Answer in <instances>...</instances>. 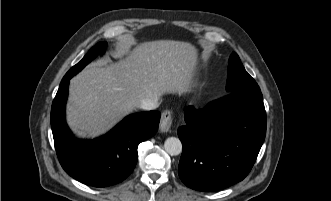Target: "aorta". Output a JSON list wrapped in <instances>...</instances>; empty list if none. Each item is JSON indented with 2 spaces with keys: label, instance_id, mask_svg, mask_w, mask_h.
<instances>
[{
  "label": "aorta",
  "instance_id": "1",
  "mask_svg": "<svg viewBox=\"0 0 331 201\" xmlns=\"http://www.w3.org/2000/svg\"><path fill=\"white\" fill-rule=\"evenodd\" d=\"M164 149L170 155H179L182 152V143L176 137H169L164 142Z\"/></svg>",
  "mask_w": 331,
  "mask_h": 201
}]
</instances>
